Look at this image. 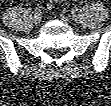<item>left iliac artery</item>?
<instances>
[{"instance_id":"1","label":"left iliac artery","mask_w":111,"mask_h":106,"mask_svg":"<svg viewBox=\"0 0 111 106\" xmlns=\"http://www.w3.org/2000/svg\"><path fill=\"white\" fill-rule=\"evenodd\" d=\"M72 11H73V12L78 11V7H77V6H74V7L72 8Z\"/></svg>"}]
</instances>
